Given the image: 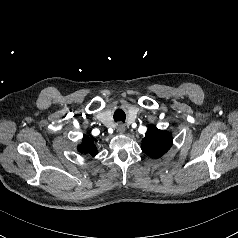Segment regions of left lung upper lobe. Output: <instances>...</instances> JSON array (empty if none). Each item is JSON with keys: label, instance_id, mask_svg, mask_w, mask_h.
Listing matches in <instances>:
<instances>
[{"label": "left lung upper lobe", "instance_id": "1", "mask_svg": "<svg viewBox=\"0 0 238 238\" xmlns=\"http://www.w3.org/2000/svg\"><path fill=\"white\" fill-rule=\"evenodd\" d=\"M172 146V135L150 125L145 137L142 139L141 149L152 158L163 156Z\"/></svg>", "mask_w": 238, "mask_h": 238}]
</instances>
